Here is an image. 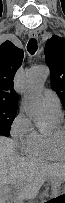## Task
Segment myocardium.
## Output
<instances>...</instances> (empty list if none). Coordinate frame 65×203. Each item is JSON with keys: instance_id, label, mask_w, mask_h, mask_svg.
Instances as JSON below:
<instances>
[{"instance_id": "1", "label": "myocardium", "mask_w": 65, "mask_h": 203, "mask_svg": "<svg viewBox=\"0 0 65 203\" xmlns=\"http://www.w3.org/2000/svg\"><path fill=\"white\" fill-rule=\"evenodd\" d=\"M49 136L53 140L55 147L60 148L65 140V128L63 126H59Z\"/></svg>"}]
</instances>
